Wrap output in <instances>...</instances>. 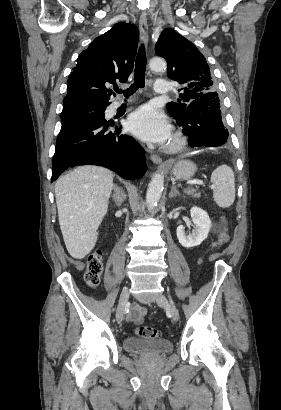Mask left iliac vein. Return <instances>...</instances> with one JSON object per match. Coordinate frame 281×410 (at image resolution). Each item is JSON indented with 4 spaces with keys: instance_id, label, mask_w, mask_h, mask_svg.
Returning <instances> with one entry per match:
<instances>
[{
    "instance_id": "obj_1",
    "label": "left iliac vein",
    "mask_w": 281,
    "mask_h": 410,
    "mask_svg": "<svg viewBox=\"0 0 281 410\" xmlns=\"http://www.w3.org/2000/svg\"><path fill=\"white\" fill-rule=\"evenodd\" d=\"M160 307L166 308L172 317V320L177 322L179 320V311L172 301H169L165 295H160L156 299Z\"/></svg>"
}]
</instances>
